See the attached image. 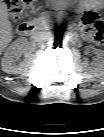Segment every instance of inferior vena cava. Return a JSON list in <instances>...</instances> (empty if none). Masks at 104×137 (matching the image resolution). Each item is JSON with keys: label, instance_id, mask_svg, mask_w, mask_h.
Returning a JSON list of instances; mask_svg holds the SVG:
<instances>
[{"label": "inferior vena cava", "instance_id": "602c4592", "mask_svg": "<svg viewBox=\"0 0 104 137\" xmlns=\"http://www.w3.org/2000/svg\"><path fill=\"white\" fill-rule=\"evenodd\" d=\"M46 38V33L42 31H36L33 35L34 40H42Z\"/></svg>", "mask_w": 104, "mask_h": 137}]
</instances>
